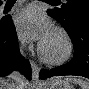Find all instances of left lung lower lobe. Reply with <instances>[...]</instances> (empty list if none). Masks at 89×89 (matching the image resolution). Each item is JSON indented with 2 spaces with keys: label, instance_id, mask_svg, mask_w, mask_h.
<instances>
[{
  "label": "left lung lower lobe",
  "instance_id": "1",
  "mask_svg": "<svg viewBox=\"0 0 89 89\" xmlns=\"http://www.w3.org/2000/svg\"><path fill=\"white\" fill-rule=\"evenodd\" d=\"M47 13L54 17L50 10ZM74 45L73 59L60 67L40 71V79L51 76L78 75L89 78V21H80L66 30Z\"/></svg>",
  "mask_w": 89,
  "mask_h": 89
}]
</instances>
